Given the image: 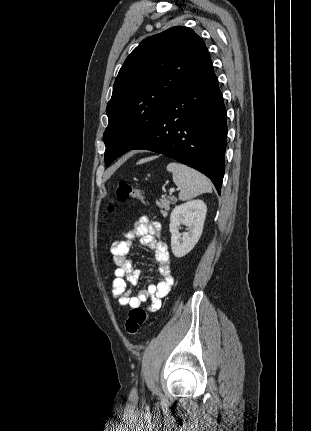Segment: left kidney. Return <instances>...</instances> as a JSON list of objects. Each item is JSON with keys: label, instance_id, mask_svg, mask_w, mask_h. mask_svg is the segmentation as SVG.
<instances>
[{"label": "left kidney", "instance_id": "obj_1", "mask_svg": "<svg viewBox=\"0 0 311 431\" xmlns=\"http://www.w3.org/2000/svg\"><path fill=\"white\" fill-rule=\"evenodd\" d=\"M206 212L207 206L202 200H191L172 210L169 229L171 249L175 257H183L196 245L202 233ZM181 223L188 225L185 233H179Z\"/></svg>", "mask_w": 311, "mask_h": 431}]
</instances>
